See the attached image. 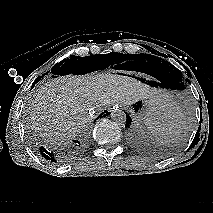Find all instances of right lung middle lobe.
I'll return each instance as SVG.
<instances>
[{
	"instance_id": "right-lung-middle-lobe-1",
	"label": "right lung middle lobe",
	"mask_w": 213,
	"mask_h": 213,
	"mask_svg": "<svg viewBox=\"0 0 213 213\" xmlns=\"http://www.w3.org/2000/svg\"><path fill=\"white\" fill-rule=\"evenodd\" d=\"M124 54L111 52L109 54H97L86 57H78L71 55L69 59H64L60 63L52 67L51 73L54 75H69V74H86L92 71L101 70L110 65L121 63L124 61ZM121 65H115L114 69H122ZM48 73V72H47ZM46 73V74H47Z\"/></svg>"
}]
</instances>
